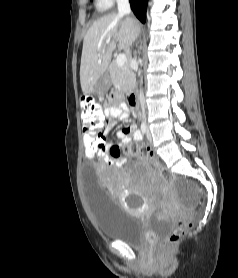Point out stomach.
<instances>
[{
	"instance_id": "1",
	"label": "stomach",
	"mask_w": 238,
	"mask_h": 278,
	"mask_svg": "<svg viewBox=\"0 0 238 278\" xmlns=\"http://www.w3.org/2000/svg\"><path fill=\"white\" fill-rule=\"evenodd\" d=\"M111 85H112L111 75L108 72H106L98 80L95 88V93H97L98 95H101L102 93H106V90Z\"/></svg>"
}]
</instances>
